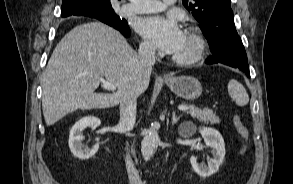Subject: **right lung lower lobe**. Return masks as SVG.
Here are the masks:
<instances>
[{
	"label": "right lung lower lobe",
	"instance_id": "1",
	"mask_svg": "<svg viewBox=\"0 0 293 184\" xmlns=\"http://www.w3.org/2000/svg\"><path fill=\"white\" fill-rule=\"evenodd\" d=\"M88 17L91 18H97L100 21L116 28L117 30H119L125 37H129L130 36V28L128 27L127 21L126 20H113V19H106L104 17H102L101 15H88Z\"/></svg>",
	"mask_w": 293,
	"mask_h": 184
}]
</instances>
